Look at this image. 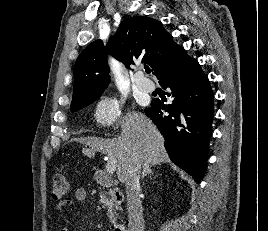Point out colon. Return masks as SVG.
I'll use <instances>...</instances> for the list:
<instances>
[{
	"label": "colon",
	"mask_w": 268,
	"mask_h": 231,
	"mask_svg": "<svg viewBox=\"0 0 268 231\" xmlns=\"http://www.w3.org/2000/svg\"><path fill=\"white\" fill-rule=\"evenodd\" d=\"M51 196L59 202L67 201L70 193L69 183L66 177L60 173L53 176L51 183Z\"/></svg>",
	"instance_id": "5ec220e1"
}]
</instances>
